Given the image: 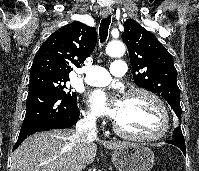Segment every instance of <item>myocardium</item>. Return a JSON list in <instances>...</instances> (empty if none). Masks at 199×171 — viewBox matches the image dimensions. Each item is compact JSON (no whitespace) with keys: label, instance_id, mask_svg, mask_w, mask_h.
<instances>
[{"label":"myocardium","instance_id":"1","mask_svg":"<svg viewBox=\"0 0 199 171\" xmlns=\"http://www.w3.org/2000/svg\"><path fill=\"white\" fill-rule=\"evenodd\" d=\"M134 94H143V95L149 97L153 101V103L155 104V106L158 109L160 116H161V120H162L161 128L154 135H140V134H134V133H130V132L123 130L117 124V122L114 121L113 129H114L115 133H117L118 135H120L124 138L136 140V141L152 142V141H158V140L162 139L167 134L169 127H170V118H169V113L166 108V105L164 104V102L161 100V98L157 94H155L151 90L144 88V87H133V88L128 89L124 93L123 99L128 98Z\"/></svg>","mask_w":199,"mask_h":171}]
</instances>
